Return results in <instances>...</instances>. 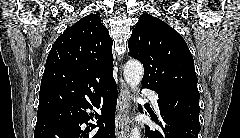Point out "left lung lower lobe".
I'll use <instances>...</instances> for the list:
<instances>
[{
  "label": "left lung lower lobe",
  "instance_id": "left-lung-lower-lobe-1",
  "mask_svg": "<svg viewBox=\"0 0 240 138\" xmlns=\"http://www.w3.org/2000/svg\"><path fill=\"white\" fill-rule=\"evenodd\" d=\"M158 106L161 114L162 131L146 126L149 138H198L201 129L199 123V98L195 92H179L170 95L158 94Z\"/></svg>",
  "mask_w": 240,
  "mask_h": 138
}]
</instances>
